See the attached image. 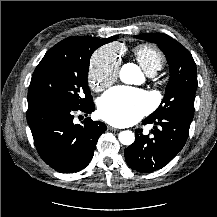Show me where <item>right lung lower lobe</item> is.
<instances>
[{"label": "right lung lower lobe", "mask_w": 217, "mask_h": 217, "mask_svg": "<svg viewBox=\"0 0 217 217\" xmlns=\"http://www.w3.org/2000/svg\"><path fill=\"white\" fill-rule=\"evenodd\" d=\"M93 101L81 108L47 105L30 108L27 121L40 157L58 172L73 173L91 161L100 135L106 125L90 118L74 124V114L94 111Z\"/></svg>", "instance_id": "98d812e1"}]
</instances>
